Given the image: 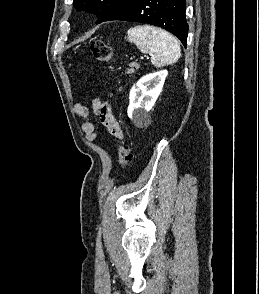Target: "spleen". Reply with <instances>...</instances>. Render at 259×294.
I'll return each mask as SVG.
<instances>
[{
  "instance_id": "3e777b00",
  "label": "spleen",
  "mask_w": 259,
  "mask_h": 294,
  "mask_svg": "<svg viewBox=\"0 0 259 294\" xmlns=\"http://www.w3.org/2000/svg\"><path fill=\"white\" fill-rule=\"evenodd\" d=\"M127 40L134 43L142 53H149L156 67L174 64L181 56L178 40L157 27H132L127 31Z\"/></svg>"
}]
</instances>
